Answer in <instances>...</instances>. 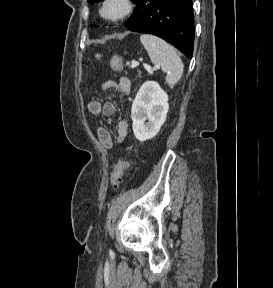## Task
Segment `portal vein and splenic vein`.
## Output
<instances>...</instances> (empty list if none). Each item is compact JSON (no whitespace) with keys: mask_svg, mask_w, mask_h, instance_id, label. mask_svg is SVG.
I'll return each instance as SVG.
<instances>
[{"mask_svg":"<svg viewBox=\"0 0 273 288\" xmlns=\"http://www.w3.org/2000/svg\"><path fill=\"white\" fill-rule=\"evenodd\" d=\"M137 66H139V63H138V62L133 61V62L131 63V67H132V68H135V67H137ZM145 68L147 69V71H149L150 73H152L153 70L159 69V66H158V65H155L154 68L151 69L150 67H147V66L145 65Z\"/></svg>","mask_w":273,"mask_h":288,"instance_id":"1","label":"portal vein and splenic vein"}]
</instances>
